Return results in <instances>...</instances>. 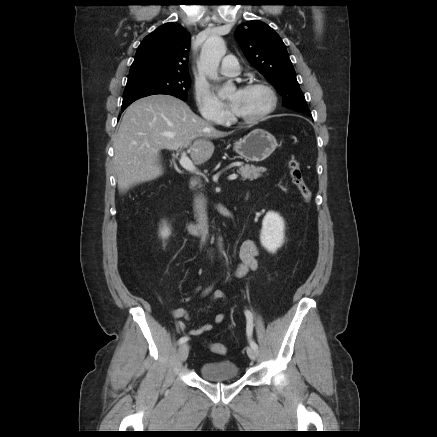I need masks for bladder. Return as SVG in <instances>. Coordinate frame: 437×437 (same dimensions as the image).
Returning <instances> with one entry per match:
<instances>
[{"label": "bladder", "mask_w": 437, "mask_h": 437, "mask_svg": "<svg viewBox=\"0 0 437 437\" xmlns=\"http://www.w3.org/2000/svg\"><path fill=\"white\" fill-rule=\"evenodd\" d=\"M199 372L203 379L209 381L233 380L239 377V367L232 361L205 362Z\"/></svg>", "instance_id": "31cf9c89"}]
</instances>
